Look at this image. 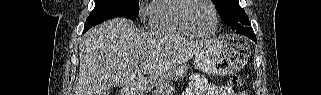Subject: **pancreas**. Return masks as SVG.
I'll return each instance as SVG.
<instances>
[{"label": "pancreas", "mask_w": 321, "mask_h": 95, "mask_svg": "<svg viewBox=\"0 0 321 95\" xmlns=\"http://www.w3.org/2000/svg\"><path fill=\"white\" fill-rule=\"evenodd\" d=\"M172 86L171 84H166L163 87H159L156 90H154L155 95H169L170 92H172Z\"/></svg>", "instance_id": "1"}]
</instances>
